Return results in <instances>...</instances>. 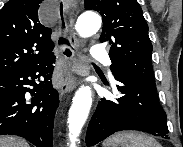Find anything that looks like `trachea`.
<instances>
[{"label":"trachea","instance_id":"1","mask_svg":"<svg viewBox=\"0 0 183 147\" xmlns=\"http://www.w3.org/2000/svg\"><path fill=\"white\" fill-rule=\"evenodd\" d=\"M60 14H61V20H62V29H64L65 25H64V22H63V5H62V3L60 4ZM59 43L70 46L69 41L64 37L60 38Z\"/></svg>","mask_w":183,"mask_h":147}]
</instances>
